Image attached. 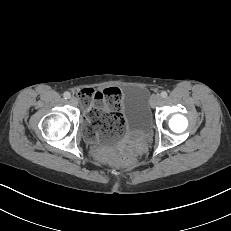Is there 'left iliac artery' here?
I'll return each mask as SVG.
<instances>
[{"label":"left iliac artery","mask_w":231,"mask_h":231,"mask_svg":"<svg viewBox=\"0 0 231 231\" xmlns=\"http://www.w3.org/2000/svg\"><path fill=\"white\" fill-rule=\"evenodd\" d=\"M160 95L162 98H166L168 94L166 91H162Z\"/></svg>","instance_id":"obj_1"}]
</instances>
